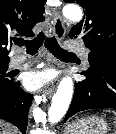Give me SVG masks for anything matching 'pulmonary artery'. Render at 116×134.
<instances>
[{
	"label": "pulmonary artery",
	"mask_w": 116,
	"mask_h": 134,
	"mask_svg": "<svg viewBox=\"0 0 116 134\" xmlns=\"http://www.w3.org/2000/svg\"><path fill=\"white\" fill-rule=\"evenodd\" d=\"M65 49L68 51H75L78 52L85 61L89 58V50L84 48L79 42L76 41H66L65 42ZM28 61V58L25 55L18 54L11 57L9 61V68H17Z\"/></svg>",
	"instance_id": "1"
}]
</instances>
